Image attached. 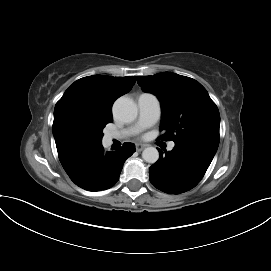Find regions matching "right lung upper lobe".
I'll return each instance as SVG.
<instances>
[{"label": "right lung upper lobe", "mask_w": 271, "mask_h": 271, "mask_svg": "<svg viewBox=\"0 0 271 271\" xmlns=\"http://www.w3.org/2000/svg\"><path fill=\"white\" fill-rule=\"evenodd\" d=\"M136 77L93 75L75 81L57 102L52 126L63 168L99 149L101 143L76 136L71 123L77 118L101 117L113 120L116 98L129 92Z\"/></svg>", "instance_id": "1"}]
</instances>
